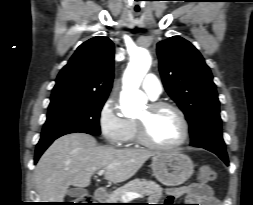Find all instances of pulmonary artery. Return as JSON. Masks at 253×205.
I'll return each instance as SVG.
<instances>
[{
    "mask_svg": "<svg viewBox=\"0 0 253 205\" xmlns=\"http://www.w3.org/2000/svg\"><path fill=\"white\" fill-rule=\"evenodd\" d=\"M142 89L151 99H157L162 93V84L157 76L148 74L142 82Z\"/></svg>",
    "mask_w": 253,
    "mask_h": 205,
    "instance_id": "obj_1",
    "label": "pulmonary artery"
}]
</instances>
